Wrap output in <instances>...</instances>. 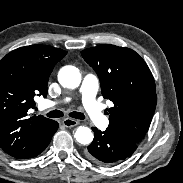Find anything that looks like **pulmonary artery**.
Returning a JSON list of instances; mask_svg holds the SVG:
<instances>
[{"label":"pulmonary artery","instance_id":"1","mask_svg":"<svg viewBox=\"0 0 183 183\" xmlns=\"http://www.w3.org/2000/svg\"><path fill=\"white\" fill-rule=\"evenodd\" d=\"M98 79L92 74H88L83 78L80 94L82 96V103L84 109L87 112L91 122L95 125L102 127L107 123V119L103 113L102 105L98 102L96 94L98 91ZM69 99H66L68 101ZM60 102L57 101H46V107H54Z\"/></svg>","mask_w":183,"mask_h":183}]
</instances>
